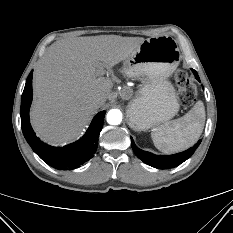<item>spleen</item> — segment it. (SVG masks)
Returning a JSON list of instances; mask_svg holds the SVG:
<instances>
[{
	"label": "spleen",
	"mask_w": 233,
	"mask_h": 233,
	"mask_svg": "<svg viewBox=\"0 0 233 233\" xmlns=\"http://www.w3.org/2000/svg\"><path fill=\"white\" fill-rule=\"evenodd\" d=\"M205 107L198 101L183 117L166 122L151 132L155 147L164 153L188 149L199 139L205 124Z\"/></svg>",
	"instance_id": "1"
}]
</instances>
